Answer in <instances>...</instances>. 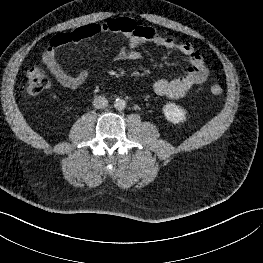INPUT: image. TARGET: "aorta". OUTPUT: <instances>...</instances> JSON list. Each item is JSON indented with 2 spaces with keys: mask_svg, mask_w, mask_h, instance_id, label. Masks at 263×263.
I'll use <instances>...</instances> for the list:
<instances>
[{
  "mask_svg": "<svg viewBox=\"0 0 263 263\" xmlns=\"http://www.w3.org/2000/svg\"><path fill=\"white\" fill-rule=\"evenodd\" d=\"M114 107L116 110H124L125 107H126V101L122 98H117L115 101H114Z\"/></svg>",
  "mask_w": 263,
  "mask_h": 263,
  "instance_id": "obj_1",
  "label": "aorta"
}]
</instances>
